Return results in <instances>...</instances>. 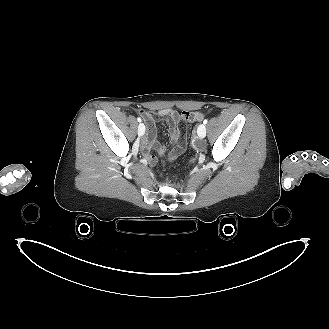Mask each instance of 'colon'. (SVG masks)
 I'll return each mask as SVG.
<instances>
[{
    "label": "colon",
    "instance_id": "colon-1",
    "mask_svg": "<svg viewBox=\"0 0 329 329\" xmlns=\"http://www.w3.org/2000/svg\"><path fill=\"white\" fill-rule=\"evenodd\" d=\"M182 121L187 123H195L203 118V113L199 111H182Z\"/></svg>",
    "mask_w": 329,
    "mask_h": 329
}]
</instances>
